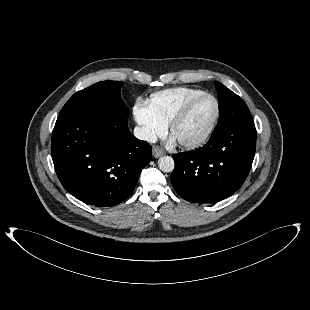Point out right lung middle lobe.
Masks as SVG:
<instances>
[{
	"label": "right lung middle lobe",
	"instance_id": "dd1d6c3e",
	"mask_svg": "<svg viewBox=\"0 0 310 310\" xmlns=\"http://www.w3.org/2000/svg\"><path fill=\"white\" fill-rule=\"evenodd\" d=\"M122 82L102 81L75 93L63 106L60 115L82 109H102L128 118L129 109L120 95Z\"/></svg>",
	"mask_w": 310,
	"mask_h": 310
}]
</instances>
